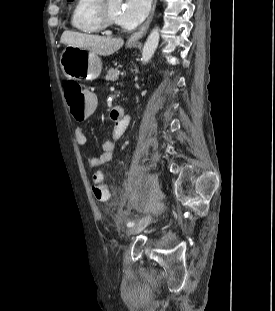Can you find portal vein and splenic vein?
<instances>
[{
	"mask_svg": "<svg viewBox=\"0 0 275 311\" xmlns=\"http://www.w3.org/2000/svg\"><path fill=\"white\" fill-rule=\"evenodd\" d=\"M124 74H125L124 72H121V73H120L121 76H123Z\"/></svg>",
	"mask_w": 275,
	"mask_h": 311,
	"instance_id": "obj_1",
	"label": "portal vein and splenic vein"
}]
</instances>
